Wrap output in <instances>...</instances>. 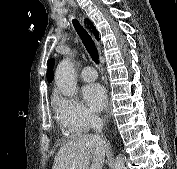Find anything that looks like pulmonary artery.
Masks as SVG:
<instances>
[{"mask_svg": "<svg viewBox=\"0 0 177 169\" xmlns=\"http://www.w3.org/2000/svg\"><path fill=\"white\" fill-rule=\"evenodd\" d=\"M82 80L86 82L94 81L97 78V72L92 66H86L82 69L80 74Z\"/></svg>", "mask_w": 177, "mask_h": 169, "instance_id": "e3ab8cb5", "label": "pulmonary artery"}]
</instances>
